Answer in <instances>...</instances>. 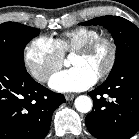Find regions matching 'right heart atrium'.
<instances>
[{
  "mask_svg": "<svg viewBox=\"0 0 139 139\" xmlns=\"http://www.w3.org/2000/svg\"><path fill=\"white\" fill-rule=\"evenodd\" d=\"M23 58L30 74L40 82H46L63 63V54L54 40L46 36L30 41L24 49Z\"/></svg>",
  "mask_w": 139,
  "mask_h": 139,
  "instance_id": "d8ad5b80",
  "label": "right heart atrium"
}]
</instances>
